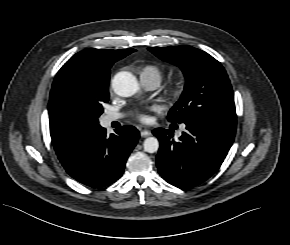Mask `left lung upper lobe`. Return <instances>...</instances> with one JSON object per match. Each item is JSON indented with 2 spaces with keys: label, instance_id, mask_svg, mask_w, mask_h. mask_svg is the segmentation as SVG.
<instances>
[{
  "label": "left lung upper lobe",
  "instance_id": "5c2ea615",
  "mask_svg": "<svg viewBox=\"0 0 290 245\" xmlns=\"http://www.w3.org/2000/svg\"><path fill=\"white\" fill-rule=\"evenodd\" d=\"M158 58L183 71L186 84L179 101L168 113V120L184 123L202 118L236 130L233 90L222 65L208 53L191 46L148 48Z\"/></svg>",
  "mask_w": 290,
  "mask_h": 245
}]
</instances>
